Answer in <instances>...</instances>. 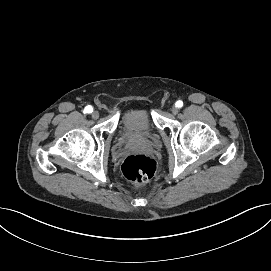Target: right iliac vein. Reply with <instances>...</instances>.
I'll return each instance as SVG.
<instances>
[{"label":"right iliac vein","mask_w":271,"mask_h":271,"mask_svg":"<svg viewBox=\"0 0 271 271\" xmlns=\"http://www.w3.org/2000/svg\"><path fill=\"white\" fill-rule=\"evenodd\" d=\"M91 117H92L93 119H97V118L99 117V112H98V111H93V112L91 113Z\"/></svg>","instance_id":"right-iliac-vein-1"}]
</instances>
